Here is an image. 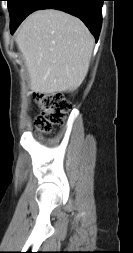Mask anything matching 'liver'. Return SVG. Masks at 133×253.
<instances>
[{
    "mask_svg": "<svg viewBox=\"0 0 133 253\" xmlns=\"http://www.w3.org/2000/svg\"><path fill=\"white\" fill-rule=\"evenodd\" d=\"M16 43L35 93L76 89L85 79L94 38L78 18L57 10L29 15L16 32Z\"/></svg>",
    "mask_w": 133,
    "mask_h": 253,
    "instance_id": "liver-1",
    "label": "liver"
}]
</instances>
